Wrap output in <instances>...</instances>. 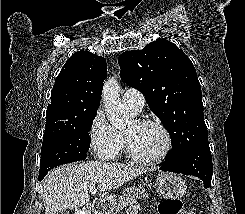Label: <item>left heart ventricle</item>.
Masks as SVG:
<instances>
[{
    "label": "left heart ventricle",
    "mask_w": 245,
    "mask_h": 214,
    "mask_svg": "<svg viewBox=\"0 0 245 214\" xmlns=\"http://www.w3.org/2000/svg\"><path fill=\"white\" fill-rule=\"evenodd\" d=\"M123 134L129 140L133 150L143 157H155L165 146L162 131L155 126H138L131 122Z\"/></svg>",
    "instance_id": "obj_1"
}]
</instances>
